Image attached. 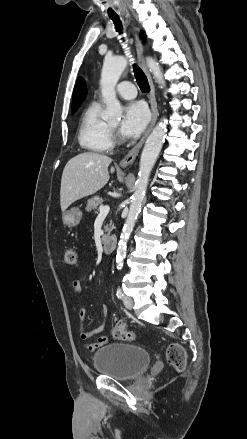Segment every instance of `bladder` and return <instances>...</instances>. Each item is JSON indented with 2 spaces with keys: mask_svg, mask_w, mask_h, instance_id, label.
<instances>
[{
  "mask_svg": "<svg viewBox=\"0 0 247 439\" xmlns=\"http://www.w3.org/2000/svg\"><path fill=\"white\" fill-rule=\"evenodd\" d=\"M151 363L150 353L142 347L114 343L99 349L93 358L95 370L117 380H134Z\"/></svg>",
  "mask_w": 247,
  "mask_h": 439,
  "instance_id": "bladder-1",
  "label": "bladder"
}]
</instances>
